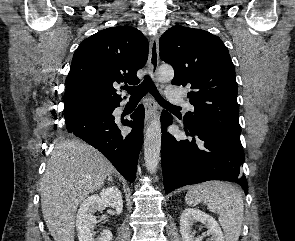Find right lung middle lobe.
I'll return each instance as SVG.
<instances>
[{"instance_id": "1", "label": "right lung middle lobe", "mask_w": 295, "mask_h": 241, "mask_svg": "<svg viewBox=\"0 0 295 241\" xmlns=\"http://www.w3.org/2000/svg\"><path fill=\"white\" fill-rule=\"evenodd\" d=\"M105 107H110V106H103V107H93V108H89V109H85L82 111H78V112H74V113H69V114H65V120H71L73 119L75 116L81 114V113H85V112H91V111H97L99 109L105 108Z\"/></svg>"}]
</instances>
